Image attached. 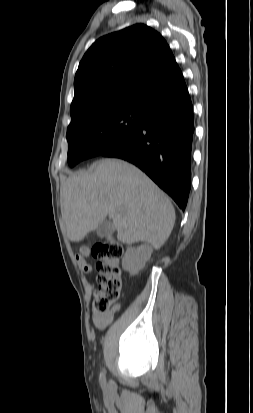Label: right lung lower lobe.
I'll use <instances>...</instances> for the list:
<instances>
[{"label": "right lung lower lobe", "mask_w": 253, "mask_h": 413, "mask_svg": "<svg viewBox=\"0 0 253 413\" xmlns=\"http://www.w3.org/2000/svg\"><path fill=\"white\" fill-rule=\"evenodd\" d=\"M193 122L189 94L180 100L155 103L146 110L137 131L101 156L133 163L184 210L190 192Z\"/></svg>", "instance_id": "obj_1"}]
</instances>
